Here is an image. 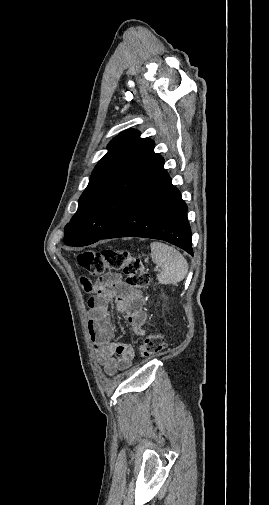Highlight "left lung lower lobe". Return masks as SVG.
<instances>
[{
    "label": "left lung lower lobe",
    "mask_w": 269,
    "mask_h": 505,
    "mask_svg": "<svg viewBox=\"0 0 269 505\" xmlns=\"http://www.w3.org/2000/svg\"><path fill=\"white\" fill-rule=\"evenodd\" d=\"M163 166L153 151L130 200L101 239H160L193 255L187 205Z\"/></svg>",
    "instance_id": "1"
}]
</instances>
